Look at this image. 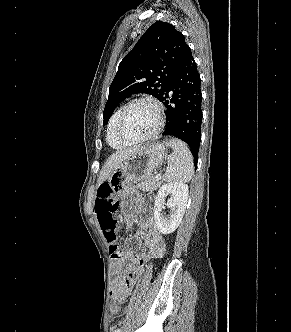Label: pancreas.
<instances>
[{"instance_id": "obj_1", "label": "pancreas", "mask_w": 291, "mask_h": 332, "mask_svg": "<svg viewBox=\"0 0 291 332\" xmlns=\"http://www.w3.org/2000/svg\"><path fill=\"white\" fill-rule=\"evenodd\" d=\"M161 185V182L159 180H156L155 177L149 178L147 180H144L136 185V187L142 191L146 192H152L154 190H157L159 186Z\"/></svg>"}]
</instances>
